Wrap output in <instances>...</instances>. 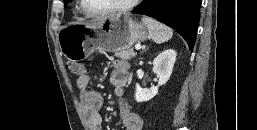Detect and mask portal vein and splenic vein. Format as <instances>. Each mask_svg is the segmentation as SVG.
Listing matches in <instances>:
<instances>
[{
    "label": "portal vein and splenic vein",
    "mask_w": 257,
    "mask_h": 130,
    "mask_svg": "<svg viewBox=\"0 0 257 130\" xmlns=\"http://www.w3.org/2000/svg\"><path fill=\"white\" fill-rule=\"evenodd\" d=\"M135 49H136V50H140V49H141V46H140V45H137V46H135Z\"/></svg>",
    "instance_id": "1"
}]
</instances>
